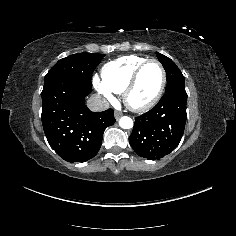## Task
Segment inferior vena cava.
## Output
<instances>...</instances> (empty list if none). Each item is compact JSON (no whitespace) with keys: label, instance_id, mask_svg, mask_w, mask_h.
Here are the masks:
<instances>
[{"label":"inferior vena cava","instance_id":"inferior-vena-cava-1","mask_svg":"<svg viewBox=\"0 0 236 236\" xmlns=\"http://www.w3.org/2000/svg\"><path fill=\"white\" fill-rule=\"evenodd\" d=\"M87 106L91 111H105L109 108V102L99 94H93L87 101Z\"/></svg>","mask_w":236,"mask_h":236}]
</instances>
